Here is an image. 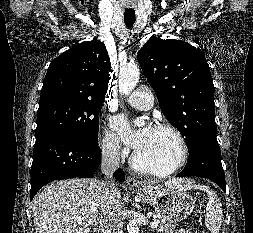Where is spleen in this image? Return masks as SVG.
Here are the masks:
<instances>
[{
    "label": "spleen",
    "mask_w": 253,
    "mask_h": 233,
    "mask_svg": "<svg viewBox=\"0 0 253 233\" xmlns=\"http://www.w3.org/2000/svg\"><path fill=\"white\" fill-rule=\"evenodd\" d=\"M175 187L183 190H190L192 188H195L206 192L208 203L206 206L205 225L211 233H219L222 223L223 210L221 201L217 194L211 188L205 185H192L178 182Z\"/></svg>",
    "instance_id": "3e777b00"
}]
</instances>
